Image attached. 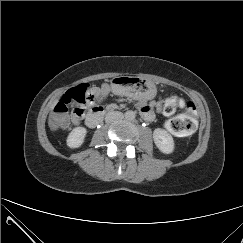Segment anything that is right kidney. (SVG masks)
I'll return each mask as SVG.
<instances>
[{"label":"right kidney","mask_w":243,"mask_h":243,"mask_svg":"<svg viewBox=\"0 0 243 243\" xmlns=\"http://www.w3.org/2000/svg\"><path fill=\"white\" fill-rule=\"evenodd\" d=\"M87 130L84 127L74 128L67 137V146L70 148L80 147L85 139Z\"/></svg>","instance_id":"1"}]
</instances>
